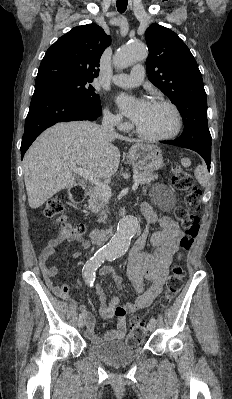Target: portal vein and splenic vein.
<instances>
[{"label":"portal vein and splenic vein","instance_id":"18ae733b","mask_svg":"<svg viewBox=\"0 0 232 399\" xmlns=\"http://www.w3.org/2000/svg\"><path fill=\"white\" fill-rule=\"evenodd\" d=\"M72 172H75V174H78V176H82V178H85V180H89L91 184H95V188H99L107 198H110L112 192L108 186V184H103L101 180H98V178H95L94 174H91L89 170H83V168H77L76 164L74 162H70V166ZM139 180H135V184L132 186V190H137Z\"/></svg>","mask_w":232,"mask_h":399}]
</instances>
